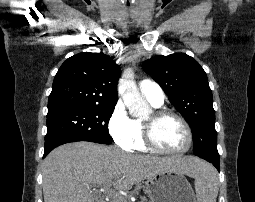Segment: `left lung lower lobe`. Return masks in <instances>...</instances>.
Listing matches in <instances>:
<instances>
[{
  "label": "left lung lower lobe",
  "instance_id": "1",
  "mask_svg": "<svg viewBox=\"0 0 255 202\" xmlns=\"http://www.w3.org/2000/svg\"><path fill=\"white\" fill-rule=\"evenodd\" d=\"M207 160L208 162L212 163L218 170L220 169V163H219V160H213L211 158H207L205 159Z\"/></svg>",
  "mask_w": 255,
  "mask_h": 202
}]
</instances>
